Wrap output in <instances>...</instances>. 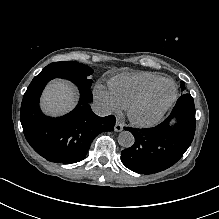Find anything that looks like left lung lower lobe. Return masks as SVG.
Here are the masks:
<instances>
[{
	"mask_svg": "<svg viewBox=\"0 0 219 219\" xmlns=\"http://www.w3.org/2000/svg\"><path fill=\"white\" fill-rule=\"evenodd\" d=\"M175 119L174 125L170 122ZM195 105L192 96L182 94L171 115L153 128L130 131L135 143L121 152L123 164L140 174L161 172L174 165L185 153L195 134Z\"/></svg>",
	"mask_w": 219,
	"mask_h": 219,
	"instance_id": "0a47b994",
	"label": "left lung lower lobe"
}]
</instances>
